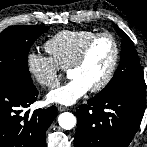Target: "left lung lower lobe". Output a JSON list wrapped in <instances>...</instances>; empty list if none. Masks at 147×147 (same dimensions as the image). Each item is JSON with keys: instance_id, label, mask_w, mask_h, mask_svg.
Returning <instances> with one entry per match:
<instances>
[{"instance_id": "1", "label": "left lung lower lobe", "mask_w": 147, "mask_h": 147, "mask_svg": "<svg viewBox=\"0 0 147 147\" xmlns=\"http://www.w3.org/2000/svg\"><path fill=\"white\" fill-rule=\"evenodd\" d=\"M145 107V94L96 95L76 111L74 147H128L140 127Z\"/></svg>"}]
</instances>
